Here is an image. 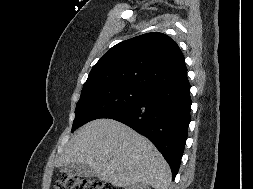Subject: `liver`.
<instances>
[{
	"instance_id": "6515ba94",
	"label": "liver",
	"mask_w": 253,
	"mask_h": 189,
	"mask_svg": "<svg viewBox=\"0 0 253 189\" xmlns=\"http://www.w3.org/2000/svg\"><path fill=\"white\" fill-rule=\"evenodd\" d=\"M84 163L95 175L113 186L137 183L168 189L171 170L157 148L128 126L97 119L80 127L60 155L56 165Z\"/></svg>"
}]
</instances>
